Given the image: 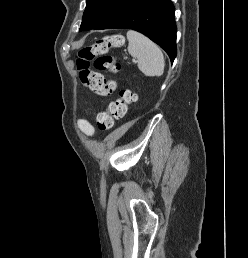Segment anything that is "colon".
Segmentation results:
<instances>
[{"instance_id":"1","label":"colon","mask_w":248,"mask_h":258,"mask_svg":"<svg viewBox=\"0 0 248 258\" xmlns=\"http://www.w3.org/2000/svg\"><path fill=\"white\" fill-rule=\"evenodd\" d=\"M124 38L120 34H111L96 40L93 44L84 46L77 55L76 68L79 72L81 82L93 94L106 96L113 90L112 84L108 83L100 72L117 73L120 68L119 60L109 54V49L119 47ZM93 65L97 71H91ZM99 71V72H98ZM136 100L134 92L122 89L119 98L112 101L108 109L98 113L97 126L101 131H108L113 127L114 120L125 117L128 105Z\"/></svg>"}]
</instances>
